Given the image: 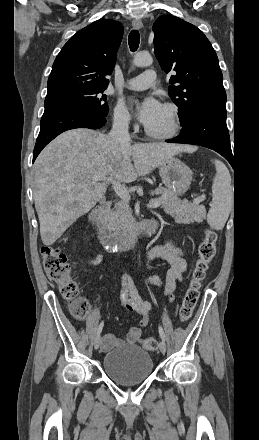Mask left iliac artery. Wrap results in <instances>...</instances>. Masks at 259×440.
I'll return each instance as SVG.
<instances>
[{"label": "left iliac artery", "mask_w": 259, "mask_h": 440, "mask_svg": "<svg viewBox=\"0 0 259 440\" xmlns=\"http://www.w3.org/2000/svg\"><path fill=\"white\" fill-rule=\"evenodd\" d=\"M159 334L162 340H165V333L161 326H159Z\"/></svg>", "instance_id": "44dca946"}]
</instances>
